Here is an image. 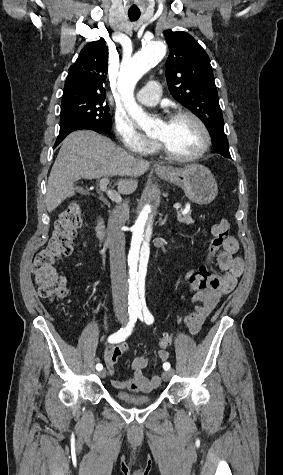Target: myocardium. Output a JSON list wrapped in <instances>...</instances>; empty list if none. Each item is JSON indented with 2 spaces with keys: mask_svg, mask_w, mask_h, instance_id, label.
<instances>
[{
  "mask_svg": "<svg viewBox=\"0 0 283 475\" xmlns=\"http://www.w3.org/2000/svg\"><path fill=\"white\" fill-rule=\"evenodd\" d=\"M179 117L189 118L200 127L203 137H202V142L199 148L197 149V151L188 156H175L169 152L165 144L160 139L155 138L157 149L162 156H164L168 161L175 164L184 165V164L197 162L209 150L210 142H211L209 129L207 125L205 124V122L193 112L185 111V110H175L169 114L170 119H175Z\"/></svg>",
  "mask_w": 283,
  "mask_h": 475,
  "instance_id": "obj_1",
  "label": "myocardium"
}]
</instances>
